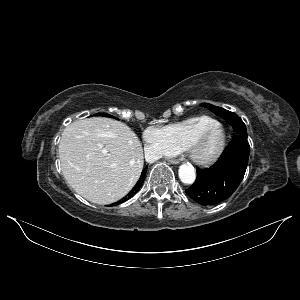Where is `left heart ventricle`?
<instances>
[{
	"label": "left heart ventricle",
	"instance_id": "b2bd125f",
	"mask_svg": "<svg viewBox=\"0 0 300 300\" xmlns=\"http://www.w3.org/2000/svg\"><path fill=\"white\" fill-rule=\"evenodd\" d=\"M214 142H215V136H213L210 139H208L207 141H205L200 148L201 154H203V155L208 154L210 152V150L212 149Z\"/></svg>",
	"mask_w": 300,
	"mask_h": 300
}]
</instances>
